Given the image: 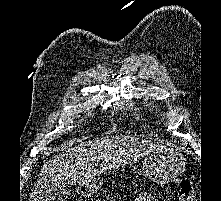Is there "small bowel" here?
<instances>
[{"instance_id": "obj_1", "label": "small bowel", "mask_w": 221, "mask_h": 201, "mask_svg": "<svg viewBox=\"0 0 221 201\" xmlns=\"http://www.w3.org/2000/svg\"><path fill=\"white\" fill-rule=\"evenodd\" d=\"M133 201H158L147 193L139 194Z\"/></svg>"}]
</instances>
